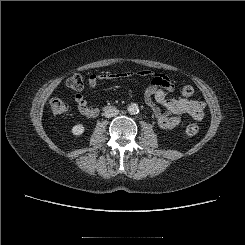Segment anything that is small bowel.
<instances>
[{
    "label": "small bowel",
    "mask_w": 245,
    "mask_h": 245,
    "mask_svg": "<svg viewBox=\"0 0 245 245\" xmlns=\"http://www.w3.org/2000/svg\"><path fill=\"white\" fill-rule=\"evenodd\" d=\"M130 75L132 73L91 74L88 78V83L90 87L94 88L101 80L128 77ZM136 75L148 79V85L144 91V99L162 129L171 130L178 127L182 122V116L185 114L197 121L203 119L206 107L204 102L182 97L169 98L167 96L168 92L174 90V84L164 74L141 70ZM75 101L79 112L83 116L95 118L98 115V109L90 106L83 95L77 94Z\"/></svg>",
    "instance_id": "obj_1"
}]
</instances>
